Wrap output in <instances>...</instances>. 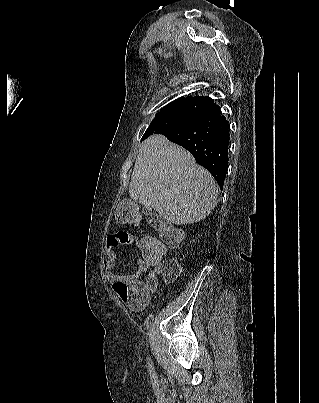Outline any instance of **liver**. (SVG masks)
<instances>
[{"label": "liver", "instance_id": "1", "mask_svg": "<svg viewBox=\"0 0 319 403\" xmlns=\"http://www.w3.org/2000/svg\"><path fill=\"white\" fill-rule=\"evenodd\" d=\"M129 195L168 222L182 225L199 222L210 214L218 188L189 152L156 134L139 146Z\"/></svg>", "mask_w": 319, "mask_h": 403}]
</instances>
